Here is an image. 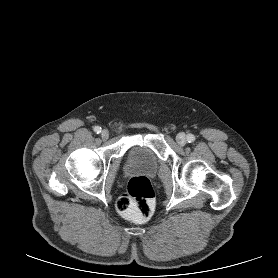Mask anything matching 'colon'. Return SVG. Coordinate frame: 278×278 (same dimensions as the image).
Segmentation results:
<instances>
[{
	"mask_svg": "<svg viewBox=\"0 0 278 278\" xmlns=\"http://www.w3.org/2000/svg\"><path fill=\"white\" fill-rule=\"evenodd\" d=\"M154 190L151 182L144 176L130 179L127 190L116 202L117 211L136 222H145L154 209Z\"/></svg>",
	"mask_w": 278,
	"mask_h": 278,
	"instance_id": "1",
	"label": "colon"
}]
</instances>
